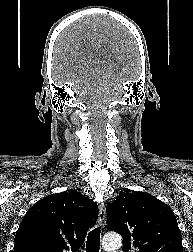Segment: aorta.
<instances>
[{
	"instance_id": "762f6f07",
	"label": "aorta",
	"mask_w": 193,
	"mask_h": 252,
	"mask_svg": "<svg viewBox=\"0 0 193 252\" xmlns=\"http://www.w3.org/2000/svg\"><path fill=\"white\" fill-rule=\"evenodd\" d=\"M102 245L107 251H114L122 245V238L119 234H107L104 236Z\"/></svg>"
}]
</instances>
